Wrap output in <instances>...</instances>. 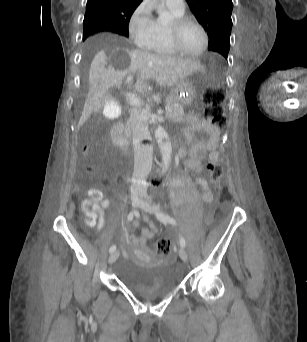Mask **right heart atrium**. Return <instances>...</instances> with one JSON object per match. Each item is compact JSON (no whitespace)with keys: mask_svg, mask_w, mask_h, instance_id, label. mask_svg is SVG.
Wrapping results in <instances>:
<instances>
[{"mask_svg":"<svg viewBox=\"0 0 307 342\" xmlns=\"http://www.w3.org/2000/svg\"><path fill=\"white\" fill-rule=\"evenodd\" d=\"M127 33L130 41L139 46L155 38L157 25L143 6H139L129 16Z\"/></svg>","mask_w":307,"mask_h":342,"instance_id":"right-heart-atrium-1","label":"right heart atrium"}]
</instances>
